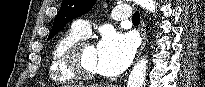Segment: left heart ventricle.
Returning <instances> with one entry per match:
<instances>
[{"label": "left heart ventricle", "mask_w": 205, "mask_h": 87, "mask_svg": "<svg viewBox=\"0 0 205 87\" xmlns=\"http://www.w3.org/2000/svg\"><path fill=\"white\" fill-rule=\"evenodd\" d=\"M81 64L85 71L97 73L96 47H85L81 54Z\"/></svg>", "instance_id": "b2bd125f"}]
</instances>
